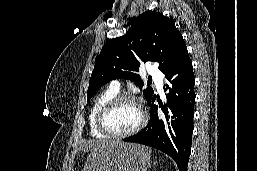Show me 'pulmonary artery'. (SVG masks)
Wrapping results in <instances>:
<instances>
[{"instance_id":"1","label":"pulmonary artery","mask_w":257,"mask_h":171,"mask_svg":"<svg viewBox=\"0 0 257 171\" xmlns=\"http://www.w3.org/2000/svg\"><path fill=\"white\" fill-rule=\"evenodd\" d=\"M148 73L155 80L158 90H161L162 89V78H163L161 72L156 67L150 66L148 68ZM120 87H121V82L119 80L111 81V83H110L111 89L118 92Z\"/></svg>"}]
</instances>
